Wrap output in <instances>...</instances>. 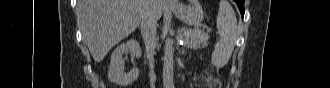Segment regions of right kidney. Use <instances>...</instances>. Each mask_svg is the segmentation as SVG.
<instances>
[{"instance_id": "1", "label": "right kidney", "mask_w": 330, "mask_h": 88, "mask_svg": "<svg viewBox=\"0 0 330 88\" xmlns=\"http://www.w3.org/2000/svg\"><path fill=\"white\" fill-rule=\"evenodd\" d=\"M130 53L136 58L141 57V47L139 43L130 39L116 47L111 55L110 65L108 67V79L117 85L126 86L132 84L139 76V69L133 68L129 73L124 72L123 54Z\"/></svg>"}]
</instances>
